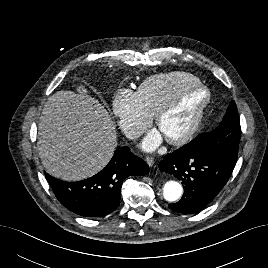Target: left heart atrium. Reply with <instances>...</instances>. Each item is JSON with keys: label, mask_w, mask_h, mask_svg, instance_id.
Returning a JSON list of instances; mask_svg holds the SVG:
<instances>
[{"label": "left heart atrium", "mask_w": 268, "mask_h": 268, "mask_svg": "<svg viewBox=\"0 0 268 268\" xmlns=\"http://www.w3.org/2000/svg\"><path fill=\"white\" fill-rule=\"evenodd\" d=\"M162 141V134L159 130L153 129L145 138L142 148L146 151L154 150Z\"/></svg>", "instance_id": "left-heart-atrium-1"}]
</instances>
